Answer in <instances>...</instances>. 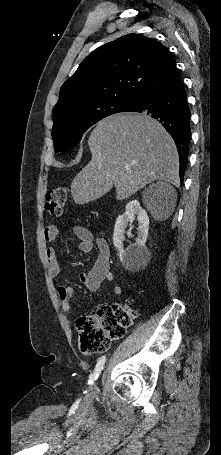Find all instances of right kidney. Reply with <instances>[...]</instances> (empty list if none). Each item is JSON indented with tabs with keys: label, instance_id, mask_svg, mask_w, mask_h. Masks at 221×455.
Returning a JSON list of instances; mask_svg holds the SVG:
<instances>
[{
	"label": "right kidney",
	"instance_id": "obj_1",
	"mask_svg": "<svg viewBox=\"0 0 221 455\" xmlns=\"http://www.w3.org/2000/svg\"><path fill=\"white\" fill-rule=\"evenodd\" d=\"M157 186H162L158 184ZM137 216L138 220V233L135 243L128 246L126 249L123 247L125 239V228L128 223H132ZM132 228V227H131ZM131 228L128 235H131ZM149 218L147 212L141 207L137 200H132L126 205L124 214L118 216L113 234V243L117 248L120 260L126 269L132 270L144 265L149 258V251L145 246L148 236Z\"/></svg>",
	"mask_w": 221,
	"mask_h": 455
}]
</instances>
